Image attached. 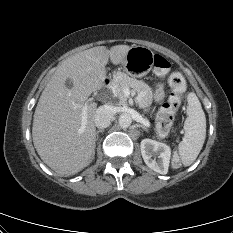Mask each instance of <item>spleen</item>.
<instances>
[{
    "mask_svg": "<svg viewBox=\"0 0 233 233\" xmlns=\"http://www.w3.org/2000/svg\"><path fill=\"white\" fill-rule=\"evenodd\" d=\"M187 100L188 116L184 122V137L178 145L179 157L173 159L175 167L179 166V159L184 166L191 165L198 157L206 137V117L199 99L191 92Z\"/></svg>",
    "mask_w": 233,
    "mask_h": 233,
    "instance_id": "obj_1",
    "label": "spleen"
}]
</instances>
